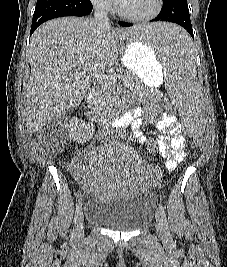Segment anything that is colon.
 <instances>
[{
  "label": "colon",
  "mask_w": 227,
  "mask_h": 267,
  "mask_svg": "<svg viewBox=\"0 0 227 267\" xmlns=\"http://www.w3.org/2000/svg\"><path fill=\"white\" fill-rule=\"evenodd\" d=\"M165 109H167V116H176L178 112V109L174 108V104H165ZM37 138L39 144L46 150L58 152L65 146L67 133L61 124L53 123L39 131ZM188 148L190 149L181 155L179 164H191V160L199 154V149H193L191 145H188ZM180 170H185V167H180ZM155 192H164V187H155Z\"/></svg>",
  "instance_id": "5ec220e1"
}]
</instances>
